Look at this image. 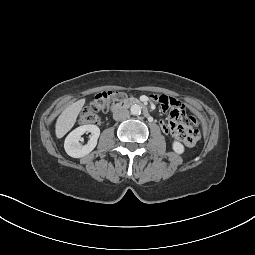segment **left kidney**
<instances>
[{"instance_id": "left-kidney-1", "label": "left kidney", "mask_w": 255, "mask_h": 255, "mask_svg": "<svg viewBox=\"0 0 255 255\" xmlns=\"http://www.w3.org/2000/svg\"><path fill=\"white\" fill-rule=\"evenodd\" d=\"M172 148H173L174 152L177 153V154L184 153V146H183V144H181L178 141H174L172 143Z\"/></svg>"}]
</instances>
